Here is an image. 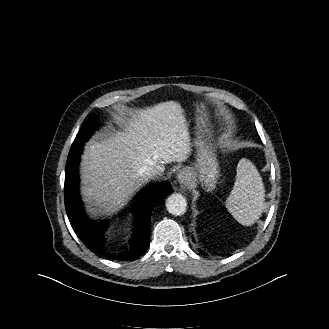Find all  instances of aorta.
Here are the masks:
<instances>
[{"instance_id": "aorta-1", "label": "aorta", "mask_w": 329, "mask_h": 329, "mask_svg": "<svg viewBox=\"0 0 329 329\" xmlns=\"http://www.w3.org/2000/svg\"><path fill=\"white\" fill-rule=\"evenodd\" d=\"M187 202L183 195L175 193L170 195L166 200L167 211L175 216L182 215L186 212Z\"/></svg>"}]
</instances>
